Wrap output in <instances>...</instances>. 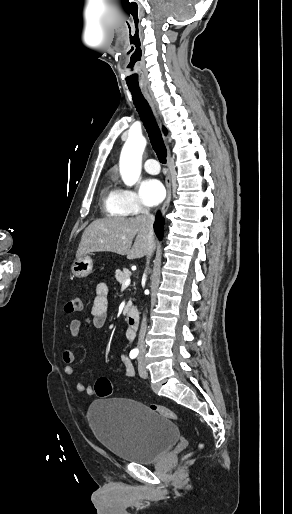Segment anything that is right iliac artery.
Here are the masks:
<instances>
[{
	"label": "right iliac artery",
	"instance_id": "1",
	"mask_svg": "<svg viewBox=\"0 0 292 514\" xmlns=\"http://www.w3.org/2000/svg\"><path fill=\"white\" fill-rule=\"evenodd\" d=\"M137 355H138V352H137V351H134V350H133V351H131V352H130V354H129V356H130V358H131V359L136 358V357H137Z\"/></svg>",
	"mask_w": 292,
	"mask_h": 514
}]
</instances>
